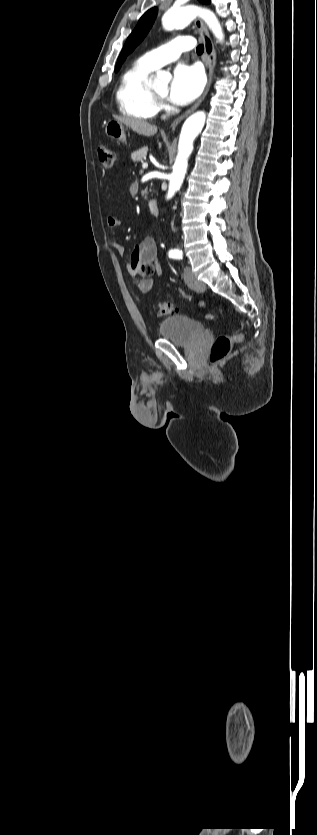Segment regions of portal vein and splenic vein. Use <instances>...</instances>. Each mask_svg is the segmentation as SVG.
I'll list each match as a JSON object with an SVG mask.
<instances>
[{"label":"portal vein and splenic vein","instance_id":"portal-vein-and-splenic-vein-1","mask_svg":"<svg viewBox=\"0 0 317 835\" xmlns=\"http://www.w3.org/2000/svg\"><path fill=\"white\" fill-rule=\"evenodd\" d=\"M142 168H143V169L148 168V163H147V162L143 163V164H142Z\"/></svg>","mask_w":317,"mask_h":835}]
</instances>
